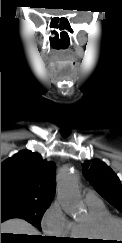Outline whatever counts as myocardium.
<instances>
[{"instance_id":"obj_1","label":"myocardium","mask_w":122,"mask_h":243,"mask_svg":"<svg viewBox=\"0 0 122 243\" xmlns=\"http://www.w3.org/2000/svg\"><path fill=\"white\" fill-rule=\"evenodd\" d=\"M113 224H119L122 226V219L115 216H108L100 219L94 224L95 235L102 239L109 237L107 235V231Z\"/></svg>"}]
</instances>
